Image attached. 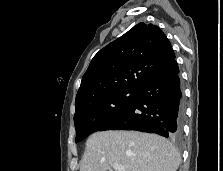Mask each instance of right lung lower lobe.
Masks as SVG:
<instances>
[{
    "instance_id": "1",
    "label": "right lung lower lobe",
    "mask_w": 223,
    "mask_h": 171,
    "mask_svg": "<svg viewBox=\"0 0 223 171\" xmlns=\"http://www.w3.org/2000/svg\"><path fill=\"white\" fill-rule=\"evenodd\" d=\"M184 105L179 68L174 61L138 92L133 102L104 130H139L178 139L182 134Z\"/></svg>"
}]
</instances>
